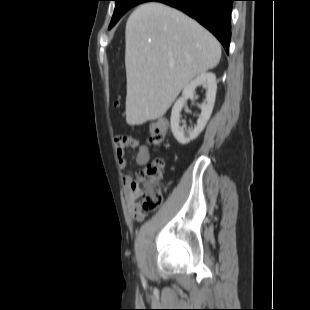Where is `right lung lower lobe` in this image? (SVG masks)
<instances>
[{"instance_id":"1","label":"right lung lower lobe","mask_w":310,"mask_h":310,"mask_svg":"<svg viewBox=\"0 0 310 310\" xmlns=\"http://www.w3.org/2000/svg\"><path fill=\"white\" fill-rule=\"evenodd\" d=\"M177 8L213 33L228 53L231 11L235 0H150Z\"/></svg>"}]
</instances>
